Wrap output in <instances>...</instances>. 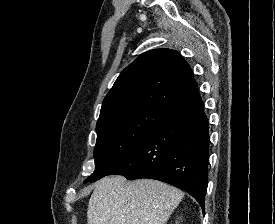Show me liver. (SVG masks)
<instances>
[{"label":"liver","mask_w":275,"mask_h":224,"mask_svg":"<svg viewBox=\"0 0 275 224\" xmlns=\"http://www.w3.org/2000/svg\"><path fill=\"white\" fill-rule=\"evenodd\" d=\"M184 193L166 183L117 175L96 183L87 210L88 224H165Z\"/></svg>","instance_id":"liver-1"}]
</instances>
